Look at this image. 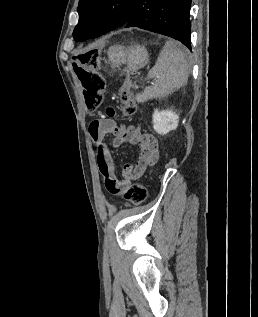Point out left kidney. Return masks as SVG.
Listing matches in <instances>:
<instances>
[{
    "label": "left kidney",
    "mask_w": 258,
    "mask_h": 317,
    "mask_svg": "<svg viewBox=\"0 0 258 317\" xmlns=\"http://www.w3.org/2000/svg\"><path fill=\"white\" fill-rule=\"evenodd\" d=\"M153 128L158 134H167L178 126L179 116L174 110H157L153 114Z\"/></svg>",
    "instance_id": "1"
}]
</instances>
